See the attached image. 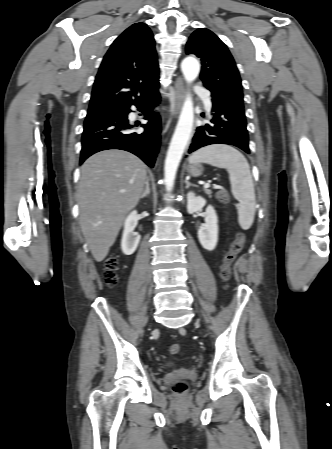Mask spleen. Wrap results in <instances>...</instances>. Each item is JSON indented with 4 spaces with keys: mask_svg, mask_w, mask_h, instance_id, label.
<instances>
[{
    "mask_svg": "<svg viewBox=\"0 0 332 449\" xmlns=\"http://www.w3.org/2000/svg\"><path fill=\"white\" fill-rule=\"evenodd\" d=\"M191 164L207 163L228 171L231 191L239 201L238 221L242 229H249L255 216V191L246 158L228 145H210L199 149L189 157Z\"/></svg>",
    "mask_w": 332,
    "mask_h": 449,
    "instance_id": "obj_1",
    "label": "spleen"
}]
</instances>
